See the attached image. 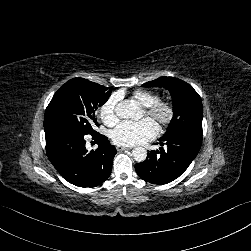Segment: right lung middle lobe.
<instances>
[{
	"label": "right lung middle lobe",
	"instance_id": "obj_1",
	"mask_svg": "<svg viewBox=\"0 0 251 251\" xmlns=\"http://www.w3.org/2000/svg\"><path fill=\"white\" fill-rule=\"evenodd\" d=\"M83 78H73L55 93L44 116V128L63 126L83 134L95 132L97 106H102L111 90Z\"/></svg>",
	"mask_w": 251,
	"mask_h": 251
}]
</instances>
